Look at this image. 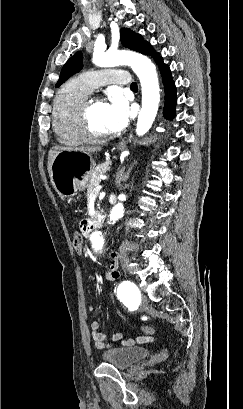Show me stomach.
<instances>
[{"label": "stomach", "instance_id": "stomach-1", "mask_svg": "<svg viewBox=\"0 0 243 409\" xmlns=\"http://www.w3.org/2000/svg\"><path fill=\"white\" fill-rule=\"evenodd\" d=\"M147 140L144 143H149ZM126 150V146H120ZM95 163L90 156L79 151L63 150L52 163V183L55 190L62 196L69 197L83 191L94 170Z\"/></svg>", "mask_w": 243, "mask_h": 409}]
</instances>
